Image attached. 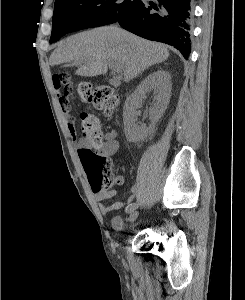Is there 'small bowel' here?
<instances>
[{
  "instance_id": "obj_1",
  "label": "small bowel",
  "mask_w": 245,
  "mask_h": 300,
  "mask_svg": "<svg viewBox=\"0 0 245 300\" xmlns=\"http://www.w3.org/2000/svg\"><path fill=\"white\" fill-rule=\"evenodd\" d=\"M59 103H60V107H61L62 112L65 114V119H66V124H67L68 131H69V133L72 137V141L75 144V146L77 147L78 151L81 148L88 147L89 143L85 139L79 138L76 134V127L77 126H76V122H75L74 117L70 114V107H69L67 97L64 96V95L60 96ZM117 136H118V134L115 130L107 131L102 135V143L98 147V153L101 156L109 159L110 157H112L118 151L119 142H118ZM115 183L117 185H122L124 183V178L121 175L116 176L115 177ZM137 190H138L137 186H132L131 187V190H130L131 194L128 198L129 201L134 199V197L137 193ZM114 194H115L114 190L108 191L106 193L97 194L96 195V200L101 203L105 199L113 197ZM123 205H124V203L122 201L115 202L110 206H106V205L101 203L100 204V209L103 212H108V211H111V210L119 209Z\"/></svg>"
}]
</instances>
